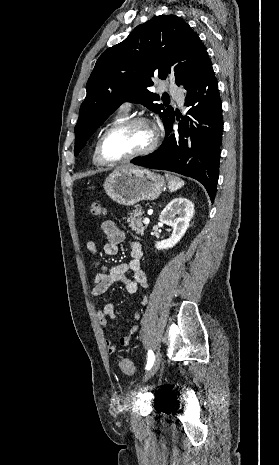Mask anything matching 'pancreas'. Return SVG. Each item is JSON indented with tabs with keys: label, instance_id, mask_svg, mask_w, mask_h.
I'll return each instance as SVG.
<instances>
[{
	"label": "pancreas",
	"instance_id": "pancreas-1",
	"mask_svg": "<svg viewBox=\"0 0 279 465\" xmlns=\"http://www.w3.org/2000/svg\"><path fill=\"white\" fill-rule=\"evenodd\" d=\"M142 214L141 210H136L130 213V217L127 218L128 226L139 235H144V231L147 228V225L142 223Z\"/></svg>",
	"mask_w": 279,
	"mask_h": 465
}]
</instances>
